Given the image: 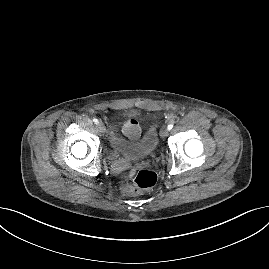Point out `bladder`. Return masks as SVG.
<instances>
[{
  "label": "bladder",
  "mask_w": 269,
  "mask_h": 269,
  "mask_svg": "<svg viewBox=\"0 0 269 269\" xmlns=\"http://www.w3.org/2000/svg\"><path fill=\"white\" fill-rule=\"evenodd\" d=\"M158 145V133L153 124L148 125L134 140H126L115 130L109 135L111 150L119 155L132 157H146L154 153Z\"/></svg>",
  "instance_id": "obj_1"
}]
</instances>
